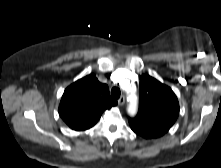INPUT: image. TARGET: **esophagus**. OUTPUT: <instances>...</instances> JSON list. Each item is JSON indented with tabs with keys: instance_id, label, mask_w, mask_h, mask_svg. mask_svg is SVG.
I'll return each mask as SVG.
<instances>
[{
	"instance_id": "1",
	"label": "esophagus",
	"mask_w": 221,
	"mask_h": 168,
	"mask_svg": "<svg viewBox=\"0 0 221 168\" xmlns=\"http://www.w3.org/2000/svg\"><path fill=\"white\" fill-rule=\"evenodd\" d=\"M124 103H125V97H124V96H121V97L118 99V104H119L120 106H122V105H124Z\"/></svg>"
}]
</instances>
